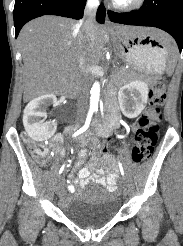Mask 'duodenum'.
Wrapping results in <instances>:
<instances>
[{
	"mask_svg": "<svg viewBox=\"0 0 183 246\" xmlns=\"http://www.w3.org/2000/svg\"><path fill=\"white\" fill-rule=\"evenodd\" d=\"M108 97L110 100L113 98V91L112 89H109L108 91ZM79 143L80 144H91V147L93 151H100V146H99V139H91L90 136H79Z\"/></svg>",
	"mask_w": 183,
	"mask_h": 246,
	"instance_id": "1",
	"label": "duodenum"
}]
</instances>
